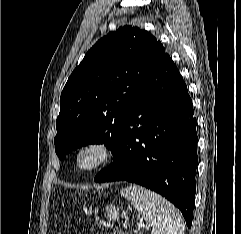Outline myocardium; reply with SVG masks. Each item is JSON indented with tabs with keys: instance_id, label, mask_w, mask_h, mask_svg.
Masks as SVG:
<instances>
[{
	"instance_id": "obj_1",
	"label": "myocardium",
	"mask_w": 241,
	"mask_h": 234,
	"mask_svg": "<svg viewBox=\"0 0 241 234\" xmlns=\"http://www.w3.org/2000/svg\"><path fill=\"white\" fill-rule=\"evenodd\" d=\"M87 153H93L94 159L90 164H83L82 158ZM113 157L111 145L104 140H89L81 144L74 156V165L81 173L94 172L106 165Z\"/></svg>"
}]
</instances>
